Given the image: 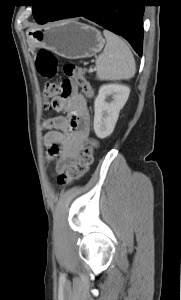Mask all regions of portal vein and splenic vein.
<instances>
[{
    "label": "portal vein and splenic vein",
    "mask_w": 181,
    "mask_h": 300,
    "mask_svg": "<svg viewBox=\"0 0 181 300\" xmlns=\"http://www.w3.org/2000/svg\"><path fill=\"white\" fill-rule=\"evenodd\" d=\"M94 71H95V69H93V68L89 69V72H91V73L94 72Z\"/></svg>",
    "instance_id": "portal-vein-and-splenic-vein-1"
}]
</instances>
